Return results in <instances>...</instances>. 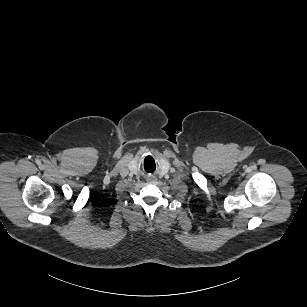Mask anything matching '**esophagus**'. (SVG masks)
Listing matches in <instances>:
<instances>
[{
  "label": "esophagus",
  "mask_w": 307,
  "mask_h": 307,
  "mask_svg": "<svg viewBox=\"0 0 307 307\" xmlns=\"http://www.w3.org/2000/svg\"><path fill=\"white\" fill-rule=\"evenodd\" d=\"M156 181H157V178L155 176L149 177L147 179V182H149V183H155Z\"/></svg>",
  "instance_id": "1"
}]
</instances>
